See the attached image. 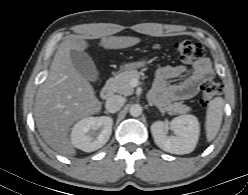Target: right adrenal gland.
Returning a JSON list of instances; mask_svg holds the SVG:
<instances>
[{"label": "right adrenal gland", "instance_id": "obj_1", "mask_svg": "<svg viewBox=\"0 0 248 195\" xmlns=\"http://www.w3.org/2000/svg\"><path fill=\"white\" fill-rule=\"evenodd\" d=\"M104 113H105V114H108V115L110 114L108 111H105Z\"/></svg>", "mask_w": 248, "mask_h": 195}]
</instances>
